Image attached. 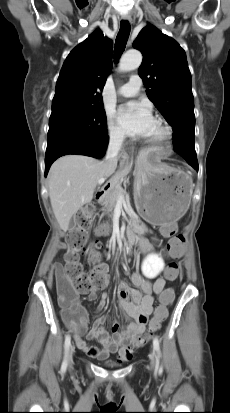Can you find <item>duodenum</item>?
<instances>
[{"label": "duodenum", "instance_id": "duodenum-1", "mask_svg": "<svg viewBox=\"0 0 230 413\" xmlns=\"http://www.w3.org/2000/svg\"><path fill=\"white\" fill-rule=\"evenodd\" d=\"M107 192H108V187L107 186L101 188L96 193V199L97 200H103L104 197L106 196ZM136 239H137L136 232L132 229L128 230V232L126 234L125 241L129 244H134V243H136ZM107 250H110V245H108Z\"/></svg>", "mask_w": 230, "mask_h": 413}]
</instances>
